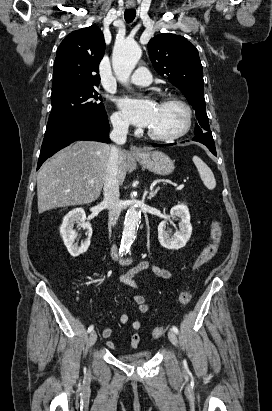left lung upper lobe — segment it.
<instances>
[{
	"instance_id": "left-lung-upper-lobe-1",
	"label": "left lung upper lobe",
	"mask_w": 272,
	"mask_h": 411,
	"mask_svg": "<svg viewBox=\"0 0 272 411\" xmlns=\"http://www.w3.org/2000/svg\"><path fill=\"white\" fill-rule=\"evenodd\" d=\"M148 51L158 74L168 77L195 110L198 124L194 134L211 132L204 99L203 68L196 47L183 36L164 33L149 41Z\"/></svg>"
}]
</instances>
